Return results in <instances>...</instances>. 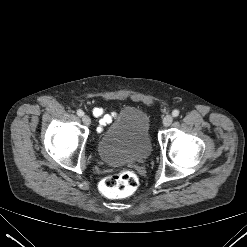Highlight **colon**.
<instances>
[{
  "mask_svg": "<svg viewBox=\"0 0 247 247\" xmlns=\"http://www.w3.org/2000/svg\"><path fill=\"white\" fill-rule=\"evenodd\" d=\"M139 185L137 174L124 169L117 174L106 177L101 183L103 193L111 198L125 197L132 194Z\"/></svg>",
  "mask_w": 247,
  "mask_h": 247,
  "instance_id": "colon-1",
  "label": "colon"
}]
</instances>
